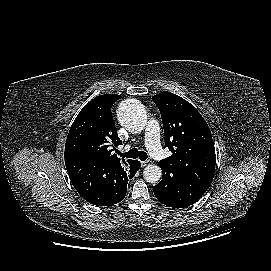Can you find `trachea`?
I'll list each match as a JSON object with an SVG mask.
<instances>
[{"label": "trachea", "instance_id": "trachea-1", "mask_svg": "<svg viewBox=\"0 0 271 271\" xmlns=\"http://www.w3.org/2000/svg\"><path fill=\"white\" fill-rule=\"evenodd\" d=\"M122 158H133V159H140L141 161H145L148 158V155L144 151H138V149L133 148L130 149L128 152L119 153Z\"/></svg>", "mask_w": 271, "mask_h": 271}]
</instances>
